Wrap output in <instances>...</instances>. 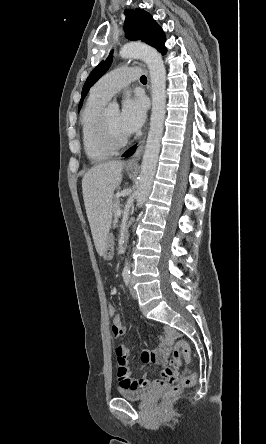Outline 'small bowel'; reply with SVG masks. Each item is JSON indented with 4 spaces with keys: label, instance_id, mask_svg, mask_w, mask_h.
Listing matches in <instances>:
<instances>
[{
    "label": "small bowel",
    "instance_id": "1",
    "mask_svg": "<svg viewBox=\"0 0 266 444\" xmlns=\"http://www.w3.org/2000/svg\"><path fill=\"white\" fill-rule=\"evenodd\" d=\"M111 331L115 337L125 335L126 329L122 325L120 315L118 314L112 319ZM175 332L170 328H164V334L160 338V343L156 349H145L142 352L144 362H152L162 366L161 377L150 380L147 376L134 379L127 367V356L129 350L124 345L116 348L117 364H118V380L121 388L139 389L146 386H167L173 383L178 377L176 365L169 360L170 346L173 342Z\"/></svg>",
    "mask_w": 266,
    "mask_h": 444
}]
</instances>
